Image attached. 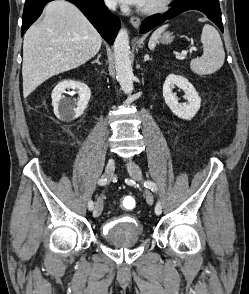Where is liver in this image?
<instances>
[{
  "label": "liver",
  "instance_id": "liver-1",
  "mask_svg": "<svg viewBox=\"0 0 249 294\" xmlns=\"http://www.w3.org/2000/svg\"><path fill=\"white\" fill-rule=\"evenodd\" d=\"M102 38L81 11L64 0L48 3L23 42V96L50 77L77 68L100 50Z\"/></svg>",
  "mask_w": 249,
  "mask_h": 294
}]
</instances>
